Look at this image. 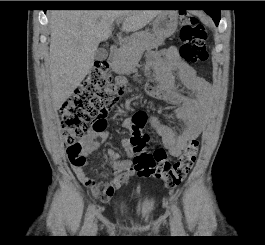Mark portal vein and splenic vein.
I'll use <instances>...</instances> for the list:
<instances>
[{"instance_id":"portal-vein-and-splenic-vein-1","label":"portal vein and splenic vein","mask_w":265,"mask_h":245,"mask_svg":"<svg viewBox=\"0 0 265 245\" xmlns=\"http://www.w3.org/2000/svg\"><path fill=\"white\" fill-rule=\"evenodd\" d=\"M121 23H122V19H117V20H116V24H117V25H119V24H121Z\"/></svg>"}]
</instances>
